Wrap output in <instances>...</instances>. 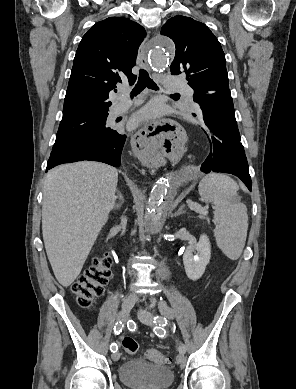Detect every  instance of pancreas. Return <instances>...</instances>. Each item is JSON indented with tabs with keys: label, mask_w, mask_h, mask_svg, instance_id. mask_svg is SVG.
Instances as JSON below:
<instances>
[{
	"label": "pancreas",
	"mask_w": 296,
	"mask_h": 389,
	"mask_svg": "<svg viewBox=\"0 0 296 389\" xmlns=\"http://www.w3.org/2000/svg\"><path fill=\"white\" fill-rule=\"evenodd\" d=\"M203 211H206V209L200 206V210H199V211H196V212H198V213L200 214V217H203V216H205V215L202 213Z\"/></svg>",
	"instance_id": "pancreas-1"
}]
</instances>
